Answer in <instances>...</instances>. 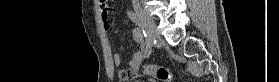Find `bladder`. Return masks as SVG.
<instances>
[{
  "label": "bladder",
  "instance_id": "31cf9c89",
  "mask_svg": "<svg viewBox=\"0 0 279 82\" xmlns=\"http://www.w3.org/2000/svg\"><path fill=\"white\" fill-rule=\"evenodd\" d=\"M120 82H146V81L141 80V79H129V80L120 81Z\"/></svg>",
  "mask_w": 279,
  "mask_h": 82
}]
</instances>
